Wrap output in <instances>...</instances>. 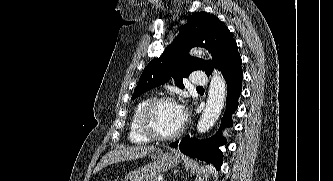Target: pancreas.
<instances>
[{"mask_svg": "<svg viewBox=\"0 0 333 181\" xmlns=\"http://www.w3.org/2000/svg\"><path fill=\"white\" fill-rule=\"evenodd\" d=\"M153 181H159L158 177H156Z\"/></svg>", "mask_w": 333, "mask_h": 181, "instance_id": "1", "label": "pancreas"}]
</instances>
